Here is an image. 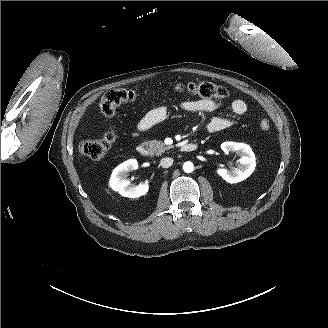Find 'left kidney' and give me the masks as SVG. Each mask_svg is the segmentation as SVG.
<instances>
[{"instance_id": "obj_1", "label": "left kidney", "mask_w": 328, "mask_h": 328, "mask_svg": "<svg viewBox=\"0 0 328 328\" xmlns=\"http://www.w3.org/2000/svg\"><path fill=\"white\" fill-rule=\"evenodd\" d=\"M221 149L225 154L236 152L240 156L237 168L232 170L220 168L217 170L218 175L226 182L231 184L241 182L254 172L256 167L255 154L248 144L227 141L221 144Z\"/></svg>"}]
</instances>
